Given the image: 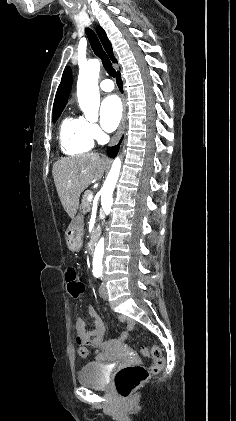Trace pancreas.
<instances>
[{
	"label": "pancreas",
	"mask_w": 236,
	"mask_h": 421,
	"mask_svg": "<svg viewBox=\"0 0 236 421\" xmlns=\"http://www.w3.org/2000/svg\"><path fill=\"white\" fill-rule=\"evenodd\" d=\"M88 194H92V190H86V192H84V194H83L82 208H83L84 215H86V213H89V208H90V202L88 200Z\"/></svg>",
	"instance_id": "1"
}]
</instances>
